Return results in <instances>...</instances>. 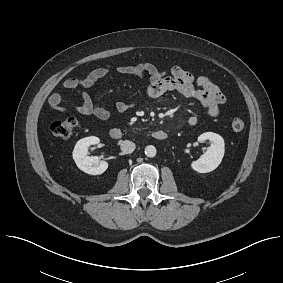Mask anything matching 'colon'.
Here are the masks:
<instances>
[{
	"instance_id": "5ec220e1",
	"label": "colon",
	"mask_w": 283,
	"mask_h": 283,
	"mask_svg": "<svg viewBox=\"0 0 283 283\" xmlns=\"http://www.w3.org/2000/svg\"><path fill=\"white\" fill-rule=\"evenodd\" d=\"M77 126V120L74 117H68L54 122L51 126V130L54 136L61 139L70 138ZM245 127V123L242 119H234L232 121V128L234 131H242Z\"/></svg>"
}]
</instances>
